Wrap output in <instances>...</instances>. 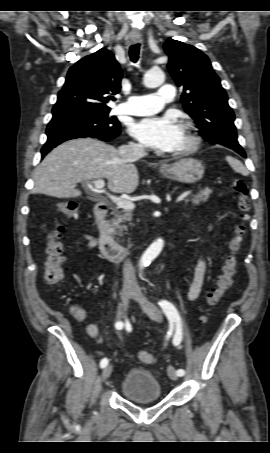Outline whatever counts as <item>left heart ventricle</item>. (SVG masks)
<instances>
[{
    "label": "left heart ventricle",
    "instance_id": "b2bd125f",
    "mask_svg": "<svg viewBox=\"0 0 270 453\" xmlns=\"http://www.w3.org/2000/svg\"><path fill=\"white\" fill-rule=\"evenodd\" d=\"M188 143V139H187V135L185 133V131L181 128V136H180V139L179 141L177 142L175 148L173 149V151H176V150H179L183 147H185Z\"/></svg>",
    "mask_w": 270,
    "mask_h": 453
}]
</instances>
